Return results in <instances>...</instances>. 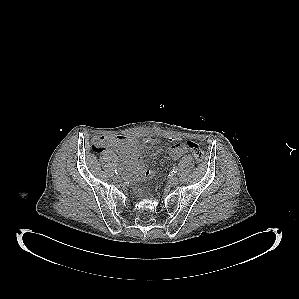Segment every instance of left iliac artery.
I'll list each match as a JSON object with an SVG mask.
<instances>
[{"instance_id":"obj_1","label":"left iliac artery","mask_w":299,"mask_h":299,"mask_svg":"<svg viewBox=\"0 0 299 299\" xmlns=\"http://www.w3.org/2000/svg\"><path fill=\"white\" fill-rule=\"evenodd\" d=\"M172 173H174V174L178 173V168H177V167H174V168L172 169Z\"/></svg>"}]
</instances>
